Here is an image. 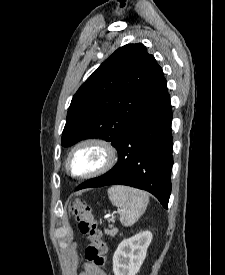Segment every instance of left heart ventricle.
I'll return each instance as SVG.
<instances>
[{
  "label": "left heart ventricle",
  "mask_w": 225,
  "mask_h": 275,
  "mask_svg": "<svg viewBox=\"0 0 225 275\" xmlns=\"http://www.w3.org/2000/svg\"><path fill=\"white\" fill-rule=\"evenodd\" d=\"M102 160L101 153L95 148H83L71 159V169L74 173L81 174L96 168Z\"/></svg>",
  "instance_id": "1"
}]
</instances>
